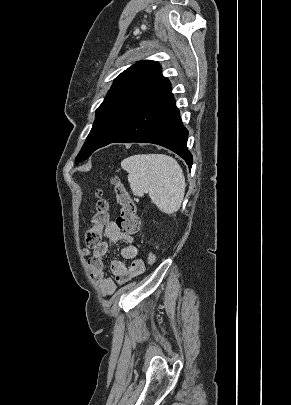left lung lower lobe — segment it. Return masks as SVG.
<instances>
[{
    "mask_svg": "<svg viewBox=\"0 0 291 405\" xmlns=\"http://www.w3.org/2000/svg\"><path fill=\"white\" fill-rule=\"evenodd\" d=\"M188 130L183 126L169 80L162 77L143 97L124 132L112 143H153L182 157L189 169Z\"/></svg>",
    "mask_w": 291,
    "mask_h": 405,
    "instance_id": "1",
    "label": "left lung lower lobe"
}]
</instances>
